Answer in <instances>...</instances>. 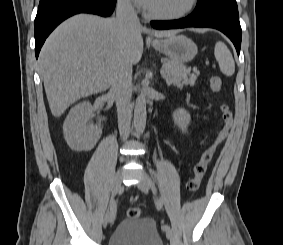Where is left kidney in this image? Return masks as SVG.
Masks as SVG:
<instances>
[{
    "instance_id": "obj_1",
    "label": "left kidney",
    "mask_w": 283,
    "mask_h": 245,
    "mask_svg": "<svg viewBox=\"0 0 283 245\" xmlns=\"http://www.w3.org/2000/svg\"><path fill=\"white\" fill-rule=\"evenodd\" d=\"M173 119L175 123L179 126L182 132L187 131V126L190 123V115L185 109H177L173 113Z\"/></svg>"
}]
</instances>
